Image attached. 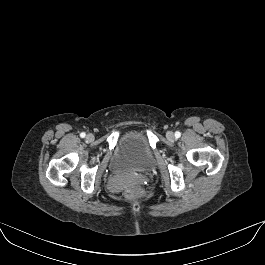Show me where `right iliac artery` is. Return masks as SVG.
I'll return each mask as SVG.
<instances>
[{
    "label": "right iliac artery",
    "instance_id": "obj_1",
    "mask_svg": "<svg viewBox=\"0 0 265 265\" xmlns=\"http://www.w3.org/2000/svg\"><path fill=\"white\" fill-rule=\"evenodd\" d=\"M86 136V134L84 133V132H82L81 134H80V137L81 138H84Z\"/></svg>",
    "mask_w": 265,
    "mask_h": 265
}]
</instances>
